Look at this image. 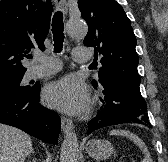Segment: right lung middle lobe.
I'll list each match as a JSON object with an SVG mask.
<instances>
[{"label":"right lung middle lobe","mask_w":168,"mask_h":162,"mask_svg":"<svg viewBox=\"0 0 168 162\" xmlns=\"http://www.w3.org/2000/svg\"><path fill=\"white\" fill-rule=\"evenodd\" d=\"M23 76L24 73L0 75V89H7L10 87H19L24 90L29 89L30 86H23L21 84Z\"/></svg>","instance_id":"obj_1"}]
</instances>
